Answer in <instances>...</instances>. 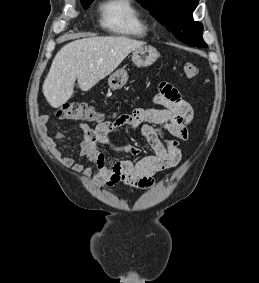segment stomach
I'll return each mask as SVG.
<instances>
[{
  "mask_svg": "<svg viewBox=\"0 0 259 283\" xmlns=\"http://www.w3.org/2000/svg\"><path fill=\"white\" fill-rule=\"evenodd\" d=\"M158 56L159 53L156 48L143 45L133 51L132 61L138 67H148L157 60ZM128 78L129 76L125 69H118L109 77V87L112 90L121 89L127 83Z\"/></svg>",
  "mask_w": 259,
  "mask_h": 283,
  "instance_id": "stomach-1",
  "label": "stomach"
}]
</instances>
